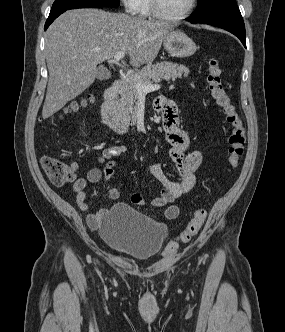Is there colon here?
Instances as JSON below:
<instances>
[{
  "label": "colon",
  "mask_w": 285,
  "mask_h": 332,
  "mask_svg": "<svg viewBox=\"0 0 285 332\" xmlns=\"http://www.w3.org/2000/svg\"><path fill=\"white\" fill-rule=\"evenodd\" d=\"M209 91L215 104L225 116L231 127L228 137V163L231 167H237L245 151L246 133L242 118L232 102L222 81V66L220 62L212 58L208 61L207 77ZM84 99L81 102H73L65 110L68 115L76 111L80 106L89 102ZM41 166L49 180L56 186H65L75 179V172L71 164H68L53 156H44L41 159ZM207 217L204 208L196 209L187 223L184 230L175 239L170 240L165 247L167 255L177 252L179 242H188L198 234Z\"/></svg>",
  "instance_id": "colon-1"
}]
</instances>
